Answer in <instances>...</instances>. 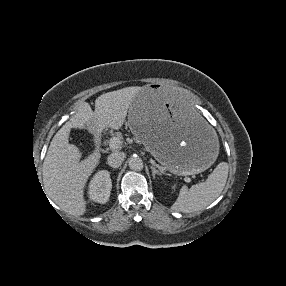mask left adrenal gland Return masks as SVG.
I'll use <instances>...</instances> for the list:
<instances>
[{
	"mask_svg": "<svg viewBox=\"0 0 286 286\" xmlns=\"http://www.w3.org/2000/svg\"><path fill=\"white\" fill-rule=\"evenodd\" d=\"M150 168L152 170V176L154 179H155L156 175H159V176L162 175L161 172H159L154 166H151Z\"/></svg>",
	"mask_w": 286,
	"mask_h": 286,
	"instance_id": "a2214340",
	"label": "left adrenal gland"
}]
</instances>
